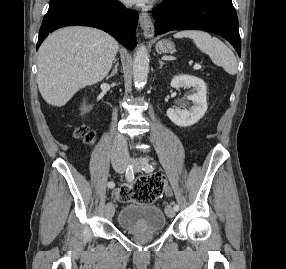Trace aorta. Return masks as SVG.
Masks as SVG:
<instances>
[{
    "label": "aorta",
    "mask_w": 286,
    "mask_h": 269,
    "mask_svg": "<svg viewBox=\"0 0 286 269\" xmlns=\"http://www.w3.org/2000/svg\"><path fill=\"white\" fill-rule=\"evenodd\" d=\"M149 72L148 52L145 46H140L136 51L133 61V79L135 86L140 89L147 81Z\"/></svg>",
    "instance_id": "obj_1"
}]
</instances>
